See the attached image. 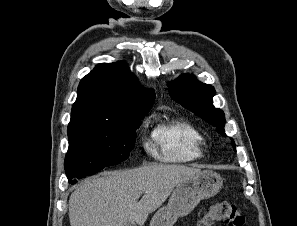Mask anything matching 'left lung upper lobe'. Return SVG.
I'll list each match as a JSON object with an SVG mask.
<instances>
[{"label":"left lung upper lobe","mask_w":297,"mask_h":226,"mask_svg":"<svg viewBox=\"0 0 297 226\" xmlns=\"http://www.w3.org/2000/svg\"><path fill=\"white\" fill-rule=\"evenodd\" d=\"M170 96L183 107L191 110L199 117L210 123L220 134L226 136L224 131V112L213 106L212 98L215 89L209 85L195 80L192 76L183 75L168 86ZM235 149V143L232 140Z\"/></svg>","instance_id":"5c2ea615"}]
</instances>
